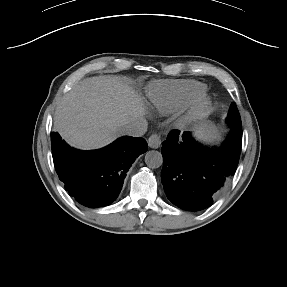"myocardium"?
<instances>
[{
  "label": "myocardium",
  "instance_id": "1",
  "mask_svg": "<svg viewBox=\"0 0 287 287\" xmlns=\"http://www.w3.org/2000/svg\"><path fill=\"white\" fill-rule=\"evenodd\" d=\"M211 106V100L209 96L203 92L193 98L186 105L185 118L188 121H194L204 116Z\"/></svg>",
  "mask_w": 287,
  "mask_h": 287
}]
</instances>
